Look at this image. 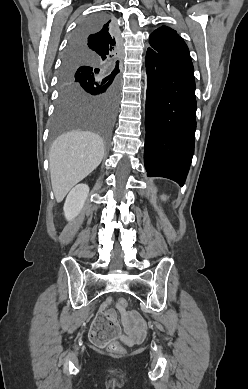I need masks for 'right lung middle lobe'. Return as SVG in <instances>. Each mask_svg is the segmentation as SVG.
Listing matches in <instances>:
<instances>
[{"label": "right lung middle lobe", "instance_id": "1", "mask_svg": "<svg viewBox=\"0 0 248 389\" xmlns=\"http://www.w3.org/2000/svg\"><path fill=\"white\" fill-rule=\"evenodd\" d=\"M107 22V16L102 14L86 18L73 34L70 44L96 32ZM60 84L51 139L70 130L90 129L98 132L107 144L119 93L116 74L87 55L66 51Z\"/></svg>", "mask_w": 248, "mask_h": 389}]
</instances>
